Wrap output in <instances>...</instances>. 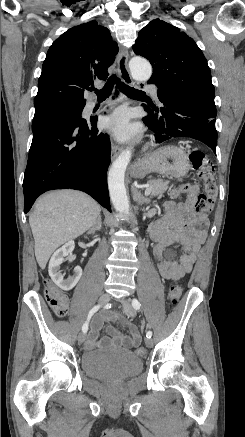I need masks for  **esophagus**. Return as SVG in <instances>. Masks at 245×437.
Returning <instances> with one entry per match:
<instances>
[{
  "instance_id": "obj_1",
  "label": "esophagus",
  "mask_w": 245,
  "mask_h": 437,
  "mask_svg": "<svg viewBox=\"0 0 245 437\" xmlns=\"http://www.w3.org/2000/svg\"><path fill=\"white\" fill-rule=\"evenodd\" d=\"M117 61H118V69L123 82L127 85H132L133 80L128 70V52L127 49L123 46H120ZM120 151H121V147L114 144L112 146V151H111V160H114L117 157V155L120 153Z\"/></svg>"
}]
</instances>
